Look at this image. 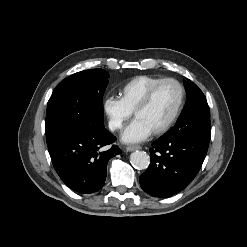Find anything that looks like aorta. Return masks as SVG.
<instances>
[{
  "label": "aorta",
  "instance_id": "762f6f07",
  "mask_svg": "<svg viewBox=\"0 0 247 247\" xmlns=\"http://www.w3.org/2000/svg\"><path fill=\"white\" fill-rule=\"evenodd\" d=\"M130 162L135 168L143 170L149 166L150 158L146 152L135 151L130 155Z\"/></svg>",
  "mask_w": 247,
  "mask_h": 247
}]
</instances>
